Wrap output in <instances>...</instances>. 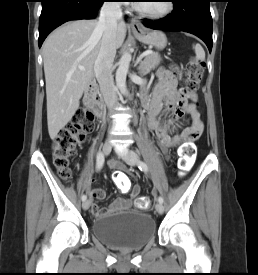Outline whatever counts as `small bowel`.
<instances>
[{
    "label": "small bowel",
    "mask_w": 258,
    "mask_h": 275,
    "mask_svg": "<svg viewBox=\"0 0 258 275\" xmlns=\"http://www.w3.org/2000/svg\"><path fill=\"white\" fill-rule=\"evenodd\" d=\"M158 83L154 87L151 97L144 96L143 104L148 111V125L152 131L158 148L168 156L171 148L182 142H192L196 140L203 131V122L194 104L189 103L188 99L194 97L186 91L177 88V79L174 74L165 68L157 71ZM188 113L192 117V124L186 128L182 134L176 131L181 128L179 119ZM112 167L124 169V166L112 162ZM140 192L139 185H134L131 189L130 198H117L107 208H100L98 201L105 198L103 188L90 190L92 213L100 217L120 210L130 209L137 199Z\"/></svg>",
    "instance_id": "c3829d8e"
}]
</instances>
